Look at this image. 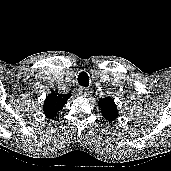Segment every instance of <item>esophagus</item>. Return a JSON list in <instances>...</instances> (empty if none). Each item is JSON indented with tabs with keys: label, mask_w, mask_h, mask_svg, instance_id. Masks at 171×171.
Returning <instances> with one entry per match:
<instances>
[{
	"label": "esophagus",
	"mask_w": 171,
	"mask_h": 171,
	"mask_svg": "<svg viewBox=\"0 0 171 171\" xmlns=\"http://www.w3.org/2000/svg\"><path fill=\"white\" fill-rule=\"evenodd\" d=\"M78 95L86 97L88 95V91L86 88H79L78 89Z\"/></svg>",
	"instance_id": "obj_1"
}]
</instances>
